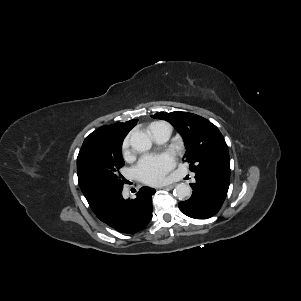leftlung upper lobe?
<instances>
[{
  "label": "left lung upper lobe",
  "mask_w": 301,
  "mask_h": 301,
  "mask_svg": "<svg viewBox=\"0 0 301 301\" xmlns=\"http://www.w3.org/2000/svg\"><path fill=\"white\" fill-rule=\"evenodd\" d=\"M153 118L169 121L182 135L185 161L195 173H208L230 180L227 144L209 120L187 112H158Z\"/></svg>",
  "instance_id": "5c2ea615"
}]
</instances>
